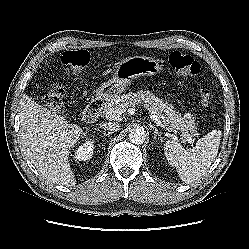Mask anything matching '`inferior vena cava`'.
Returning <instances> with one entry per match:
<instances>
[{
    "label": "inferior vena cava",
    "mask_w": 249,
    "mask_h": 249,
    "mask_svg": "<svg viewBox=\"0 0 249 249\" xmlns=\"http://www.w3.org/2000/svg\"><path fill=\"white\" fill-rule=\"evenodd\" d=\"M100 127L103 128L104 130H109V131H119L121 128L118 122L100 123Z\"/></svg>",
    "instance_id": "inferior-vena-cava-1"
}]
</instances>
